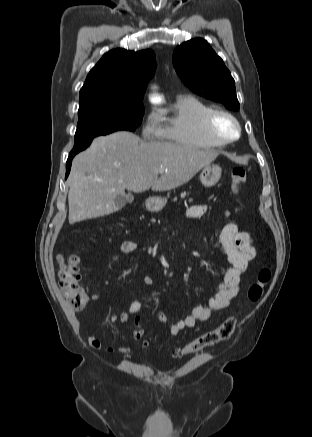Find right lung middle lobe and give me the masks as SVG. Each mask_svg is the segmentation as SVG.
Masks as SVG:
<instances>
[{"label": "right lung middle lobe", "instance_id": "obj_1", "mask_svg": "<svg viewBox=\"0 0 312 437\" xmlns=\"http://www.w3.org/2000/svg\"><path fill=\"white\" fill-rule=\"evenodd\" d=\"M144 106L115 107L96 105L78 110L75 144L70 155L86 149L93 138L116 131H134L141 124Z\"/></svg>", "mask_w": 312, "mask_h": 437}]
</instances>
